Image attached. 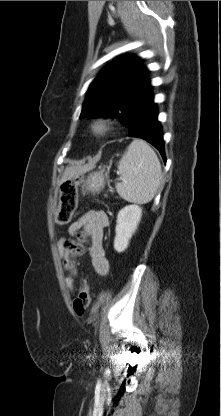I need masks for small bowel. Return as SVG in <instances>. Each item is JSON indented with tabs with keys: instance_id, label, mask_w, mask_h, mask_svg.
Instances as JSON below:
<instances>
[{
	"instance_id": "small-bowel-1",
	"label": "small bowel",
	"mask_w": 221,
	"mask_h": 416,
	"mask_svg": "<svg viewBox=\"0 0 221 416\" xmlns=\"http://www.w3.org/2000/svg\"><path fill=\"white\" fill-rule=\"evenodd\" d=\"M109 224V217L103 211H89L80 216L68 227V234L74 235L78 231L84 233V238L90 241L89 256L91 264L95 272L101 276H105L109 272V262L106 257L103 246L104 229ZM66 239H61L58 245L60 257L64 266L67 265L69 258V250L65 247ZM67 288L72 291L74 281L72 278L66 279Z\"/></svg>"
}]
</instances>
